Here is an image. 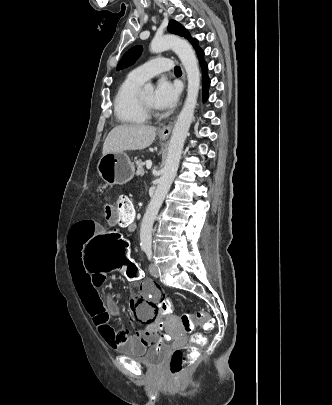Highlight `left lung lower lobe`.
Here are the masks:
<instances>
[{"mask_svg":"<svg viewBox=\"0 0 332 405\" xmlns=\"http://www.w3.org/2000/svg\"><path fill=\"white\" fill-rule=\"evenodd\" d=\"M199 61H200V65L202 68V72H203V98L204 100H206L208 98V87L210 85V80L208 78L207 75V70H208V65L206 64V62L203 60V55L204 52L199 48L196 49Z\"/></svg>","mask_w":332,"mask_h":405,"instance_id":"left-lung-lower-lobe-1","label":"left lung lower lobe"}]
</instances>
